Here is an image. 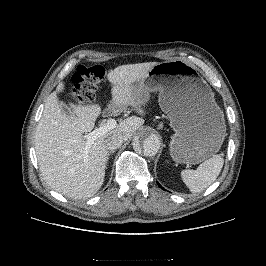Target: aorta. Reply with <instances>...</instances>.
<instances>
[{
  "label": "aorta",
  "instance_id": "1",
  "mask_svg": "<svg viewBox=\"0 0 266 266\" xmlns=\"http://www.w3.org/2000/svg\"><path fill=\"white\" fill-rule=\"evenodd\" d=\"M159 137L150 130H143L134 141V148L141 149L145 156L151 157L158 153L160 149Z\"/></svg>",
  "mask_w": 266,
  "mask_h": 266
}]
</instances>
